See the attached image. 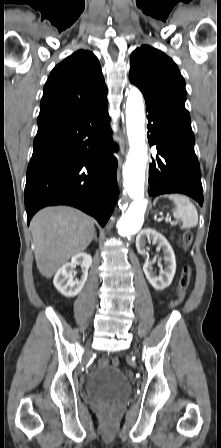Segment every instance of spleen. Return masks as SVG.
<instances>
[{"instance_id": "1", "label": "spleen", "mask_w": 221, "mask_h": 448, "mask_svg": "<svg viewBox=\"0 0 221 448\" xmlns=\"http://www.w3.org/2000/svg\"><path fill=\"white\" fill-rule=\"evenodd\" d=\"M164 197L174 201L175 208L173 216L182 222L181 229L195 227L198 224V212L195 205L190 200L180 194H170Z\"/></svg>"}]
</instances>
